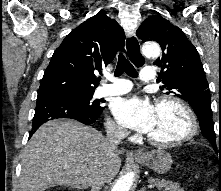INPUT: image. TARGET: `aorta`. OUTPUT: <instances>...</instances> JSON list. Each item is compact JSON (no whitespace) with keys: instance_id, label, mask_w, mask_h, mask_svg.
<instances>
[{"instance_id":"1","label":"aorta","mask_w":221,"mask_h":191,"mask_svg":"<svg viewBox=\"0 0 221 191\" xmlns=\"http://www.w3.org/2000/svg\"><path fill=\"white\" fill-rule=\"evenodd\" d=\"M142 52L146 57L157 58L160 55V47L155 42H147L143 45ZM134 178V172H127L117 180L111 191H129Z\"/></svg>"}]
</instances>
